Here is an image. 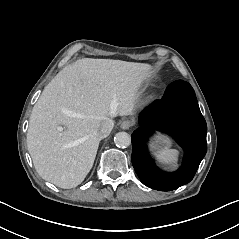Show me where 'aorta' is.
<instances>
[{
    "label": "aorta",
    "instance_id": "aorta-1",
    "mask_svg": "<svg viewBox=\"0 0 239 239\" xmlns=\"http://www.w3.org/2000/svg\"><path fill=\"white\" fill-rule=\"evenodd\" d=\"M114 141L116 146L120 148H127L131 145V137L126 132H119L115 135Z\"/></svg>",
    "mask_w": 239,
    "mask_h": 239
}]
</instances>
